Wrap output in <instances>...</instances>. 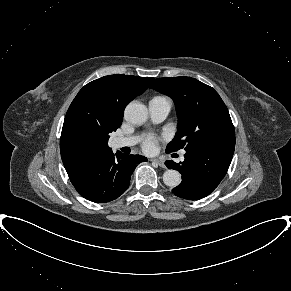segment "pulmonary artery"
<instances>
[{"label":"pulmonary artery","instance_id":"e3ab8cb5","mask_svg":"<svg viewBox=\"0 0 291 291\" xmlns=\"http://www.w3.org/2000/svg\"><path fill=\"white\" fill-rule=\"evenodd\" d=\"M171 110V101L166 97H154L149 101V112L153 122L163 121ZM139 141L138 136L119 137L113 141L114 148L130 147Z\"/></svg>","mask_w":291,"mask_h":291}]
</instances>
